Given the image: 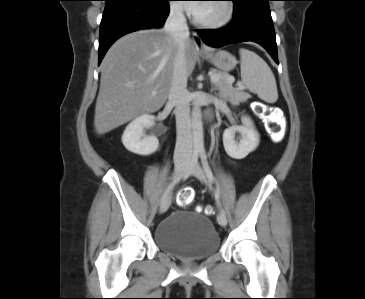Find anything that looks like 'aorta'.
Here are the masks:
<instances>
[{"label":"aorta","instance_id":"762f6f07","mask_svg":"<svg viewBox=\"0 0 365 299\" xmlns=\"http://www.w3.org/2000/svg\"><path fill=\"white\" fill-rule=\"evenodd\" d=\"M191 128H192L193 144L195 148L202 149L204 146L203 124H202L201 106L198 101L193 103V109L191 114Z\"/></svg>","mask_w":365,"mask_h":299}]
</instances>
